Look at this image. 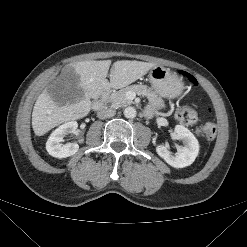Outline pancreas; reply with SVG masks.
<instances>
[{
    "label": "pancreas",
    "mask_w": 247,
    "mask_h": 247,
    "mask_svg": "<svg viewBox=\"0 0 247 247\" xmlns=\"http://www.w3.org/2000/svg\"><path fill=\"white\" fill-rule=\"evenodd\" d=\"M129 91L135 92L138 95L146 96L151 101L155 99V95L151 92V90L146 85L136 84V85L127 86L126 88L113 92L109 96L108 102L111 103V106L113 108L124 107L132 104L133 101L131 99H128L126 96ZM161 106L164 107L163 103H161Z\"/></svg>",
    "instance_id": "obj_1"
}]
</instances>
